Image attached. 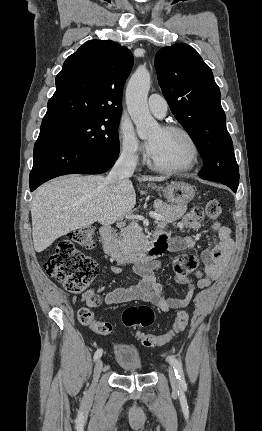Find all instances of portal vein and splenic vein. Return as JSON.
I'll use <instances>...</instances> for the list:
<instances>
[{
  "label": "portal vein and splenic vein",
  "instance_id": "1",
  "mask_svg": "<svg viewBox=\"0 0 262 431\" xmlns=\"http://www.w3.org/2000/svg\"><path fill=\"white\" fill-rule=\"evenodd\" d=\"M150 216L157 221L163 220V217L155 212H150Z\"/></svg>",
  "mask_w": 262,
  "mask_h": 431
}]
</instances>
